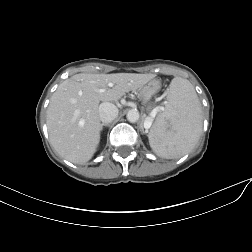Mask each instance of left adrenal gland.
<instances>
[{"mask_svg": "<svg viewBox=\"0 0 252 252\" xmlns=\"http://www.w3.org/2000/svg\"><path fill=\"white\" fill-rule=\"evenodd\" d=\"M142 132H143V133H147V131H144V129H143V128H142Z\"/></svg>", "mask_w": 252, "mask_h": 252, "instance_id": "1", "label": "left adrenal gland"}]
</instances>
